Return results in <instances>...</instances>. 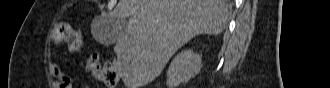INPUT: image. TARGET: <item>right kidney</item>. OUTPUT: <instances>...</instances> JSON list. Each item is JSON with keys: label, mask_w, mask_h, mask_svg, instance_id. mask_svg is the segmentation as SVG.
Segmentation results:
<instances>
[{"label": "right kidney", "mask_w": 330, "mask_h": 88, "mask_svg": "<svg viewBox=\"0 0 330 88\" xmlns=\"http://www.w3.org/2000/svg\"><path fill=\"white\" fill-rule=\"evenodd\" d=\"M202 67V56L193 50L181 51L171 62L167 71L166 85L176 88L194 77Z\"/></svg>", "instance_id": "1"}]
</instances>
